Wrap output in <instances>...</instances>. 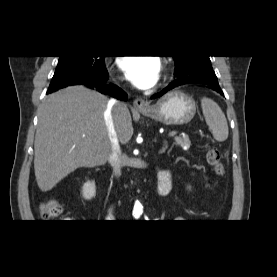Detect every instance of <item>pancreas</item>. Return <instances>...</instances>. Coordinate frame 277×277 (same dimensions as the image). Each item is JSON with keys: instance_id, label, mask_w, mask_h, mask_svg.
<instances>
[{"instance_id": "cf45deb5", "label": "pancreas", "mask_w": 277, "mask_h": 277, "mask_svg": "<svg viewBox=\"0 0 277 277\" xmlns=\"http://www.w3.org/2000/svg\"><path fill=\"white\" fill-rule=\"evenodd\" d=\"M176 145L180 146L183 149H189L191 142L188 136H178L175 137Z\"/></svg>"}]
</instances>
